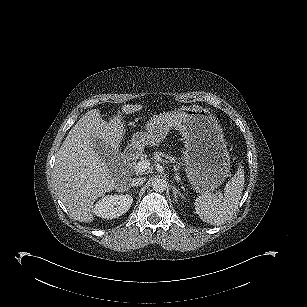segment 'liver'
<instances>
[{
    "label": "liver",
    "mask_w": 307,
    "mask_h": 307,
    "mask_svg": "<svg viewBox=\"0 0 307 307\" xmlns=\"http://www.w3.org/2000/svg\"><path fill=\"white\" fill-rule=\"evenodd\" d=\"M140 105H127L124 112L138 111ZM124 134L121 119L109 122L93 109L82 116L69 131L59 151L53 170V184L70 215L80 222L93 221V203L115 189L116 177L109 166L120 159V142ZM99 143L109 150L108 158L94 149ZM145 144L133 146L143 148Z\"/></svg>",
    "instance_id": "6515ba94"
}]
</instances>
